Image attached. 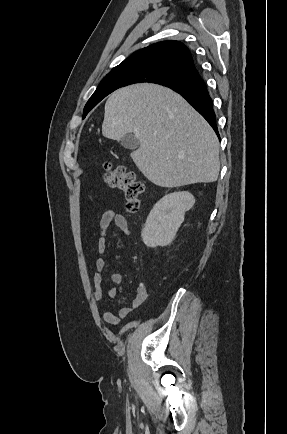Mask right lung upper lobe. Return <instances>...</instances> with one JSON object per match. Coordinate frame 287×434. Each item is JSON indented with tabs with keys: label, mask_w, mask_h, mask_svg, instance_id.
Segmentation results:
<instances>
[{
	"label": "right lung upper lobe",
	"mask_w": 287,
	"mask_h": 434,
	"mask_svg": "<svg viewBox=\"0 0 287 434\" xmlns=\"http://www.w3.org/2000/svg\"><path fill=\"white\" fill-rule=\"evenodd\" d=\"M147 68L165 70L179 75L181 79L186 73L195 69V65L189 49L183 43L163 41L136 51L106 76ZM177 81H165L159 84L167 86Z\"/></svg>",
	"instance_id": "cb5924a9"
}]
</instances>
